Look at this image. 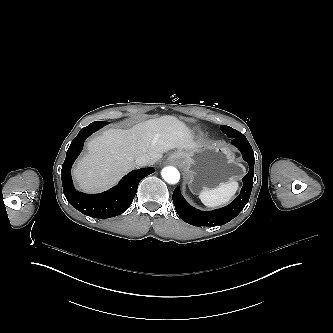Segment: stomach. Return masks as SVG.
I'll return each instance as SVG.
<instances>
[{"label": "stomach", "mask_w": 333, "mask_h": 333, "mask_svg": "<svg viewBox=\"0 0 333 333\" xmlns=\"http://www.w3.org/2000/svg\"><path fill=\"white\" fill-rule=\"evenodd\" d=\"M171 155L182 168L188 188L193 194L219 186L220 183L238 180L243 165L236 162L229 147L200 144L191 151L176 150Z\"/></svg>", "instance_id": "stomach-1"}]
</instances>
